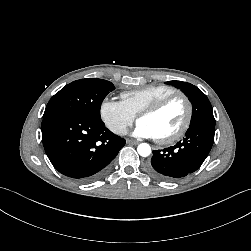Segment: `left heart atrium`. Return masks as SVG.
Returning <instances> with one entry per match:
<instances>
[{"instance_id": "1", "label": "left heart atrium", "mask_w": 251, "mask_h": 251, "mask_svg": "<svg viewBox=\"0 0 251 251\" xmlns=\"http://www.w3.org/2000/svg\"><path fill=\"white\" fill-rule=\"evenodd\" d=\"M133 135L137 138H146V139L157 138L154 131L148 125H146L142 122L137 123V125L133 131Z\"/></svg>"}]
</instances>
